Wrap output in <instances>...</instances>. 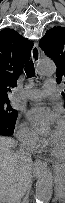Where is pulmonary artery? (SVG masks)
Instances as JSON below:
<instances>
[{"label": "pulmonary artery", "instance_id": "pulmonary-artery-1", "mask_svg": "<svg viewBox=\"0 0 65 203\" xmlns=\"http://www.w3.org/2000/svg\"><path fill=\"white\" fill-rule=\"evenodd\" d=\"M58 91L54 80H47L42 89H29L23 93V97L30 100H37L49 96Z\"/></svg>", "mask_w": 65, "mask_h": 203}]
</instances>
